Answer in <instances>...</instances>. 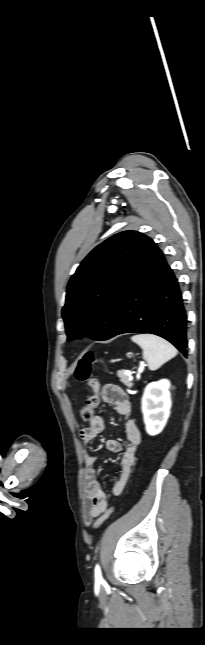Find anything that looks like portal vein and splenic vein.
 Returning <instances> with one entry per match:
<instances>
[{"label":"portal vein and splenic vein","instance_id":"portal-vein-and-splenic-vein-1","mask_svg":"<svg viewBox=\"0 0 205 645\" xmlns=\"http://www.w3.org/2000/svg\"><path fill=\"white\" fill-rule=\"evenodd\" d=\"M142 370H143V366H141V367L138 369V373H141V372H142ZM125 374H126V375H128V376H131V372H130L129 370H126V371H125Z\"/></svg>","mask_w":205,"mask_h":645}]
</instances>
